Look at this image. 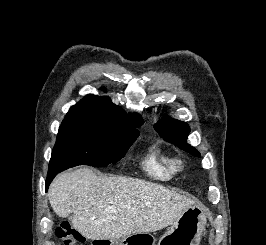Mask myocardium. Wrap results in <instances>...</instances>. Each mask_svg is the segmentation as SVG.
Wrapping results in <instances>:
<instances>
[{"instance_id":"obj_1","label":"myocardium","mask_w":266,"mask_h":245,"mask_svg":"<svg viewBox=\"0 0 266 245\" xmlns=\"http://www.w3.org/2000/svg\"><path fill=\"white\" fill-rule=\"evenodd\" d=\"M188 162L185 158H178L177 159V167L180 172H183L187 169Z\"/></svg>"}]
</instances>
